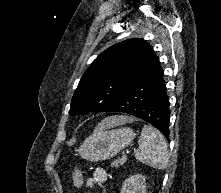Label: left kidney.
<instances>
[{"label": "left kidney", "mask_w": 221, "mask_h": 193, "mask_svg": "<svg viewBox=\"0 0 221 193\" xmlns=\"http://www.w3.org/2000/svg\"><path fill=\"white\" fill-rule=\"evenodd\" d=\"M121 193H146V177L140 174L130 176L124 181Z\"/></svg>", "instance_id": "1"}]
</instances>
